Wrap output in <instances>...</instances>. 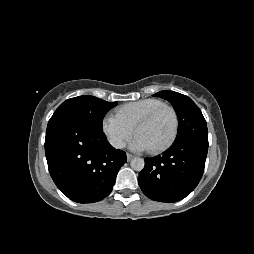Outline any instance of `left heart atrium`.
<instances>
[{
  "label": "left heart atrium",
  "mask_w": 254,
  "mask_h": 254,
  "mask_svg": "<svg viewBox=\"0 0 254 254\" xmlns=\"http://www.w3.org/2000/svg\"><path fill=\"white\" fill-rule=\"evenodd\" d=\"M130 148L135 151L149 150V145L140 135H136L130 144Z\"/></svg>",
  "instance_id": "obj_1"
}]
</instances>
